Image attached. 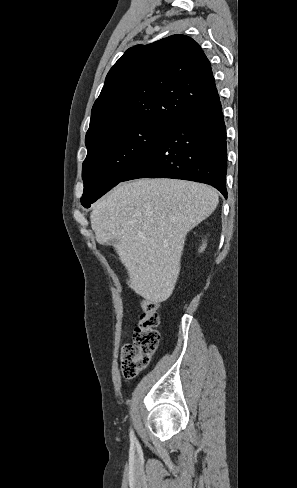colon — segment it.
<instances>
[{"label": "colon", "mask_w": 297, "mask_h": 488, "mask_svg": "<svg viewBox=\"0 0 297 488\" xmlns=\"http://www.w3.org/2000/svg\"><path fill=\"white\" fill-rule=\"evenodd\" d=\"M158 323L159 304L153 300L143 301L134 331L135 345H124L121 352V371L125 377H134L149 365L159 345Z\"/></svg>", "instance_id": "obj_1"}]
</instances>
